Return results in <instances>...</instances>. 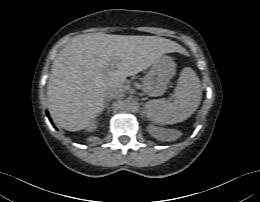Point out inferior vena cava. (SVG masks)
Masks as SVG:
<instances>
[{
  "label": "inferior vena cava",
  "mask_w": 260,
  "mask_h": 202,
  "mask_svg": "<svg viewBox=\"0 0 260 202\" xmlns=\"http://www.w3.org/2000/svg\"><path fill=\"white\" fill-rule=\"evenodd\" d=\"M107 99H115L123 96V90L122 88L113 87L106 91L105 94Z\"/></svg>",
  "instance_id": "inferior-vena-cava-1"
}]
</instances>
